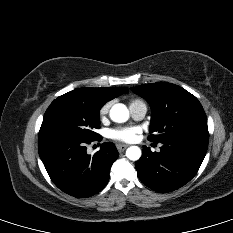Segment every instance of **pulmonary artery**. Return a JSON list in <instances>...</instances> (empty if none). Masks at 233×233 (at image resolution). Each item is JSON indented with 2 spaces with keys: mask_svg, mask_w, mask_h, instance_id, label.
Listing matches in <instances>:
<instances>
[{
  "mask_svg": "<svg viewBox=\"0 0 233 233\" xmlns=\"http://www.w3.org/2000/svg\"><path fill=\"white\" fill-rule=\"evenodd\" d=\"M129 109L135 120L143 119L147 113V105L142 101L130 104Z\"/></svg>",
  "mask_w": 233,
  "mask_h": 233,
  "instance_id": "pulmonary-artery-1",
  "label": "pulmonary artery"
}]
</instances>
